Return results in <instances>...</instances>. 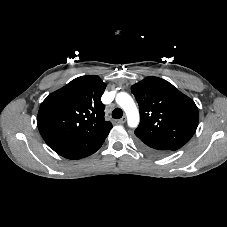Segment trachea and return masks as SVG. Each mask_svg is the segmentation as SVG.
<instances>
[{
    "instance_id": "trachea-1",
    "label": "trachea",
    "mask_w": 227,
    "mask_h": 227,
    "mask_svg": "<svg viewBox=\"0 0 227 227\" xmlns=\"http://www.w3.org/2000/svg\"><path fill=\"white\" fill-rule=\"evenodd\" d=\"M123 116V111L120 108H116L112 112V117L115 119H119Z\"/></svg>"
}]
</instances>
